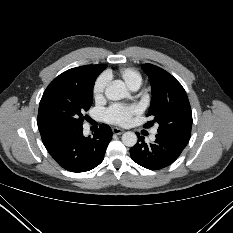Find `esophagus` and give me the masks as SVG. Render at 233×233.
I'll list each match as a JSON object with an SVG mask.
<instances>
[{
    "mask_svg": "<svg viewBox=\"0 0 233 233\" xmlns=\"http://www.w3.org/2000/svg\"><path fill=\"white\" fill-rule=\"evenodd\" d=\"M112 132H113L114 134L120 135V134H122V133L124 132V130H122V129H120V128H117V127H114V128L112 129Z\"/></svg>",
    "mask_w": 233,
    "mask_h": 233,
    "instance_id": "obj_1",
    "label": "esophagus"
}]
</instances>
